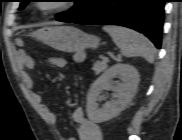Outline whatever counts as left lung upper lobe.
<instances>
[{
	"instance_id": "1",
	"label": "left lung upper lobe",
	"mask_w": 182,
	"mask_h": 140,
	"mask_svg": "<svg viewBox=\"0 0 182 140\" xmlns=\"http://www.w3.org/2000/svg\"><path fill=\"white\" fill-rule=\"evenodd\" d=\"M30 0H20L19 10H22ZM74 7L66 12L56 15L58 21L73 22L79 18H82L96 9L102 0H75Z\"/></svg>"
}]
</instances>
